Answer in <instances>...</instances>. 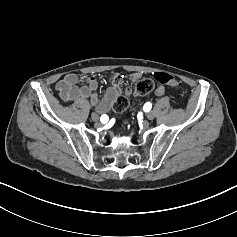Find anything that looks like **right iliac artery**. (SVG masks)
Instances as JSON below:
<instances>
[{"label": "right iliac artery", "mask_w": 237, "mask_h": 237, "mask_svg": "<svg viewBox=\"0 0 237 237\" xmlns=\"http://www.w3.org/2000/svg\"><path fill=\"white\" fill-rule=\"evenodd\" d=\"M103 119L107 120L108 119V116L107 115H102L101 118H100V121L103 122Z\"/></svg>", "instance_id": "82829eb1"}]
</instances>
